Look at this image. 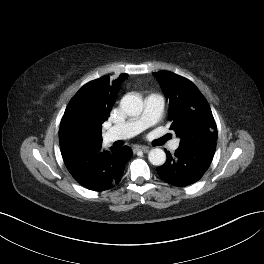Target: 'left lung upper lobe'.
Wrapping results in <instances>:
<instances>
[{
	"label": "left lung upper lobe",
	"instance_id": "obj_1",
	"mask_svg": "<svg viewBox=\"0 0 264 264\" xmlns=\"http://www.w3.org/2000/svg\"><path fill=\"white\" fill-rule=\"evenodd\" d=\"M169 99L170 129L181 139L179 148L215 153L217 126L210 106L188 79L169 71L153 73Z\"/></svg>",
	"mask_w": 264,
	"mask_h": 264
}]
</instances>
